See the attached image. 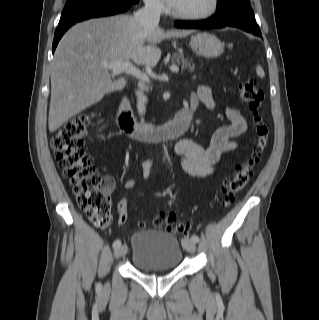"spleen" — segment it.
I'll return each mask as SVG.
<instances>
[{
    "instance_id": "spleen-1",
    "label": "spleen",
    "mask_w": 319,
    "mask_h": 320,
    "mask_svg": "<svg viewBox=\"0 0 319 320\" xmlns=\"http://www.w3.org/2000/svg\"><path fill=\"white\" fill-rule=\"evenodd\" d=\"M256 73L259 77L263 78L265 76V72L261 66L256 67Z\"/></svg>"
}]
</instances>
